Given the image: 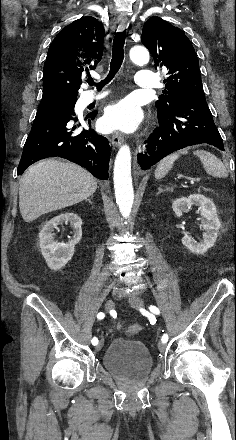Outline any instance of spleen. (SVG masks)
I'll list each match as a JSON object with an SVG mask.
<instances>
[{
  "label": "spleen",
  "instance_id": "3e777b00",
  "mask_svg": "<svg viewBox=\"0 0 236 440\" xmlns=\"http://www.w3.org/2000/svg\"><path fill=\"white\" fill-rule=\"evenodd\" d=\"M184 152L171 154L160 161L155 170V178H163L172 168L175 160H177ZM193 154L197 156L206 172L215 177H227L228 173L223 163L213 154L204 150L194 151Z\"/></svg>",
  "mask_w": 236,
  "mask_h": 440
}]
</instances>
